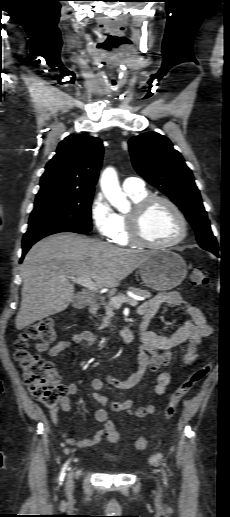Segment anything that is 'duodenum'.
I'll return each mask as SVG.
<instances>
[{
	"instance_id": "duodenum-1",
	"label": "duodenum",
	"mask_w": 230,
	"mask_h": 517,
	"mask_svg": "<svg viewBox=\"0 0 230 517\" xmlns=\"http://www.w3.org/2000/svg\"><path fill=\"white\" fill-rule=\"evenodd\" d=\"M89 310L93 314L97 313L100 310V304L98 302H96V301L91 302L90 305H89ZM150 317L151 316L149 314L143 315V319H142V322H141L140 330H139L138 333H136L131 328H127V329L123 330L122 333L120 334L119 338H118V341L120 343H122V344H129L136 337H138L140 339L142 337L143 330L146 327Z\"/></svg>"
}]
</instances>
